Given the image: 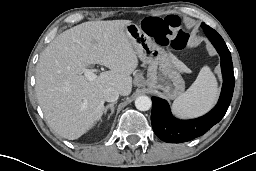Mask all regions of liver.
<instances>
[{"mask_svg":"<svg viewBox=\"0 0 256 171\" xmlns=\"http://www.w3.org/2000/svg\"><path fill=\"white\" fill-rule=\"evenodd\" d=\"M129 20L90 21L59 34L41 53L36 68V95L50 128L68 140L92 129L104 111L103 92L132 91L131 74L137 53L125 32ZM101 64L109 71L95 80L82 75L85 67ZM179 69L185 66L176 61Z\"/></svg>","mask_w":256,"mask_h":171,"instance_id":"obj_1","label":"liver"}]
</instances>
